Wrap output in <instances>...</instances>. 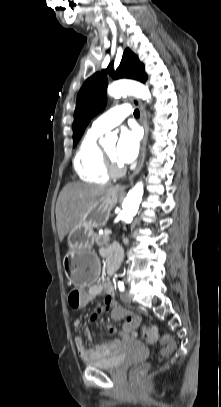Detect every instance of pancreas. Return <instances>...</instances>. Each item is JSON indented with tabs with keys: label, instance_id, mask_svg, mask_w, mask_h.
<instances>
[{
	"label": "pancreas",
	"instance_id": "1",
	"mask_svg": "<svg viewBox=\"0 0 221 407\" xmlns=\"http://www.w3.org/2000/svg\"><path fill=\"white\" fill-rule=\"evenodd\" d=\"M109 240H110L109 232H107V230H105V232L103 234H98L95 237L96 244L99 247L107 246L109 243Z\"/></svg>",
	"mask_w": 221,
	"mask_h": 407
}]
</instances>
